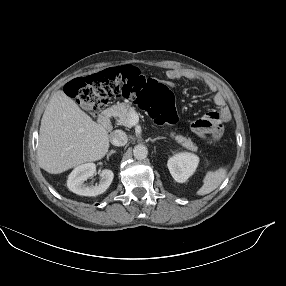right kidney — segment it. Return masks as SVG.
Here are the masks:
<instances>
[{"instance_id": "obj_1", "label": "right kidney", "mask_w": 286, "mask_h": 286, "mask_svg": "<svg viewBox=\"0 0 286 286\" xmlns=\"http://www.w3.org/2000/svg\"><path fill=\"white\" fill-rule=\"evenodd\" d=\"M96 172L93 163H86L76 167L69 175L67 186L70 191L82 196H97L104 193L110 186L114 174L111 170L104 169L100 172V181L95 185H86L84 182Z\"/></svg>"}]
</instances>
